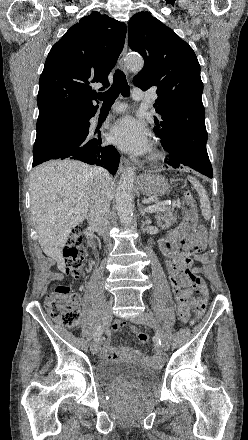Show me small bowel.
Masks as SVG:
<instances>
[{
    "label": "small bowel",
    "instance_id": "c3829d8e",
    "mask_svg": "<svg viewBox=\"0 0 248 440\" xmlns=\"http://www.w3.org/2000/svg\"><path fill=\"white\" fill-rule=\"evenodd\" d=\"M206 230L186 218L180 226L173 230L168 237L162 240L161 250L168 258L166 269L168 279L177 302L176 315L181 323L189 321V309L192 305V298L189 294V287L192 285L191 278L200 272L198 267H192V256L194 260L201 262L203 256L199 254L205 246ZM125 328L123 322H117L114 326L115 331ZM129 330L136 333L135 326H130ZM105 359H118L122 357H132L152 366H158V357L145 356L142 353L130 349H117L109 341H106L102 350Z\"/></svg>",
    "mask_w": 248,
    "mask_h": 440
}]
</instances>
